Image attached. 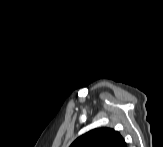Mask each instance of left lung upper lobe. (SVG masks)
I'll return each instance as SVG.
<instances>
[{"instance_id":"5c2ea615","label":"left lung upper lobe","mask_w":163,"mask_h":147,"mask_svg":"<svg viewBox=\"0 0 163 147\" xmlns=\"http://www.w3.org/2000/svg\"><path fill=\"white\" fill-rule=\"evenodd\" d=\"M122 136L111 128H97L78 137L70 147H117Z\"/></svg>"}]
</instances>
